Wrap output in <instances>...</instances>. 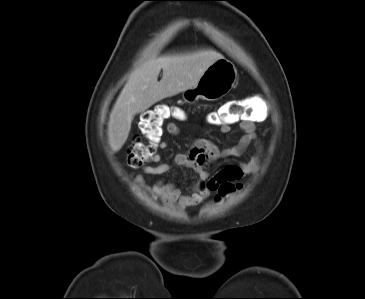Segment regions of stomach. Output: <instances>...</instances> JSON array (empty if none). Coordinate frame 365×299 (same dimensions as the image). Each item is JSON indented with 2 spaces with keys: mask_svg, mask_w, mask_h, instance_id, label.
Instances as JSON below:
<instances>
[{
  "mask_svg": "<svg viewBox=\"0 0 365 299\" xmlns=\"http://www.w3.org/2000/svg\"><path fill=\"white\" fill-rule=\"evenodd\" d=\"M237 79L234 64L225 58L218 59L204 71L194 87L183 91V99L187 103L199 99L216 101L231 91Z\"/></svg>",
  "mask_w": 365,
  "mask_h": 299,
  "instance_id": "stomach-1",
  "label": "stomach"
}]
</instances>
